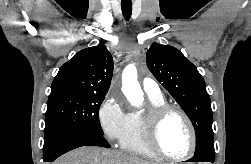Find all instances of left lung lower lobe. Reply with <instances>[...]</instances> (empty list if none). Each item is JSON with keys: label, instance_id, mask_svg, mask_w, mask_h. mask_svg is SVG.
Listing matches in <instances>:
<instances>
[{"label": "left lung lower lobe", "instance_id": "obj_1", "mask_svg": "<svg viewBox=\"0 0 251 164\" xmlns=\"http://www.w3.org/2000/svg\"><path fill=\"white\" fill-rule=\"evenodd\" d=\"M188 162H215V157L208 156L204 153H198L195 154L194 157L191 160H188Z\"/></svg>", "mask_w": 251, "mask_h": 164}]
</instances>
